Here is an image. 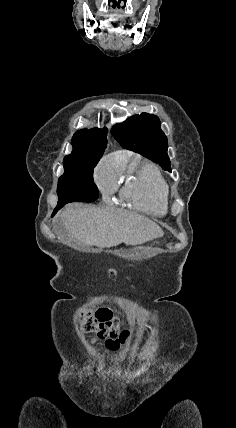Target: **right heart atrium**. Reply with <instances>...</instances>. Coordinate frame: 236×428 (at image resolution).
Wrapping results in <instances>:
<instances>
[{"instance_id": "1", "label": "right heart atrium", "mask_w": 236, "mask_h": 428, "mask_svg": "<svg viewBox=\"0 0 236 428\" xmlns=\"http://www.w3.org/2000/svg\"><path fill=\"white\" fill-rule=\"evenodd\" d=\"M95 182L104 199H109L117 188V178L107 163H101L95 171Z\"/></svg>"}]
</instances>
